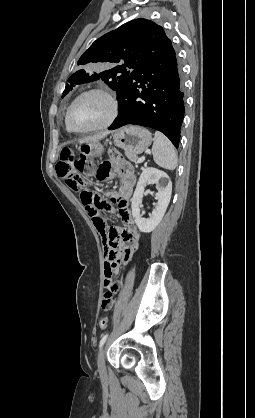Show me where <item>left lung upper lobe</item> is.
<instances>
[{
  "label": "left lung upper lobe",
  "instance_id": "5c2ea615",
  "mask_svg": "<svg viewBox=\"0 0 255 418\" xmlns=\"http://www.w3.org/2000/svg\"><path fill=\"white\" fill-rule=\"evenodd\" d=\"M169 41L163 28L150 20L135 19L123 24L97 39L80 57L78 65H86L87 69L70 76L62 97L73 86L99 78L119 93L130 73ZM93 66L101 70L96 73Z\"/></svg>",
  "mask_w": 255,
  "mask_h": 418
}]
</instances>
